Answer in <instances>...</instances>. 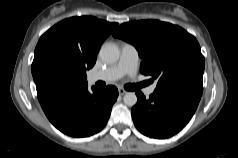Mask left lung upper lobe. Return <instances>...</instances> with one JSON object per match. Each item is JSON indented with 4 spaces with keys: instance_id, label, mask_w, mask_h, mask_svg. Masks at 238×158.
<instances>
[{
    "instance_id": "obj_1",
    "label": "left lung upper lobe",
    "mask_w": 238,
    "mask_h": 158,
    "mask_svg": "<svg viewBox=\"0 0 238 158\" xmlns=\"http://www.w3.org/2000/svg\"><path fill=\"white\" fill-rule=\"evenodd\" d=\"M114 37L133 44L142 58L141 73L158 80L155 90L203 82L205 60L196 38L158 20L123 23Z\"/></svg>"
}]
</instances>
